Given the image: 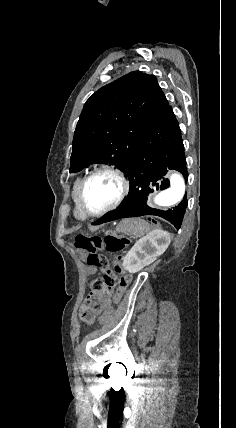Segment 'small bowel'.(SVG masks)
<instances>
[{
    "label": "small bowel",
    "instance_id": "obj_1",
    "mask_svg": "<svg viewBox=\"0 0 236 428\" xmlns=\"http://www.w3.org/2000/svg\"><path fill=\"white\" fill-rule=\"evenodd\" d=\"M98 301L103 306H108L111 303L110 302V298L107 295H104V294L98 296Z\"/></svg>",
    "mask_w": 236,
    "mask_h": 428
}]
</instances>
